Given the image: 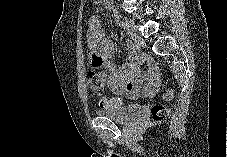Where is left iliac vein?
Instances as JSON below:
<instances>
[{
    "label": "left iliac vein",
    "mask_w": 227,
    "mask_h": 157,
    "mask_svg": "<svg viewBox=\"0 0 227 157\" xmlns=\"http://www.w3.org/2000/svg\"><path fill=\"white\" fill-rule=\"evenodd\" d=\"M125 23L127 24L128 34H129L130 38L132 39L133 43L137 47H145L144 39L141 38L137 33H135V31L131 28L130 22L126 21Z\"/></svg>",
    "instance_id": "obj_1"
}]
</instances>
